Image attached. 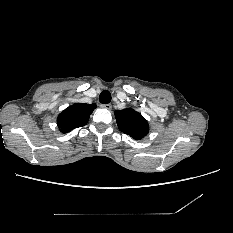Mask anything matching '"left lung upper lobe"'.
Here are the masks:
<instances>
[{"label": "left lung upper lobe", "instance_id": "obj_1", "mask_svg": "<svg viewBox=\"0 0 233 233\" xmlns=\"http://www.w3.org/2000/svg\"><path fill=\"white\" fill-rule=\"evenodd\" d=\"M118 128L136 140L142 139L149 132L145 118L133 109L126 108L115 111Z\"/></svg>", "mask_w": 233, "mask_h": 233}]
</instances>
